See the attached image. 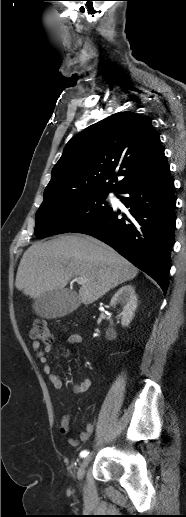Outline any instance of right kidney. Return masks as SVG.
<instances>
[{
    "label": "right kidney",
    "mask_w": 186,
    "mask_h": 517,
    "mask_svg": "<svg viewBox=\"0 0 186 517\" xmlns=\"http://www.w3.org/2000/svg\"><path fill=\"white\" fill-rule=\"evenodd\" d=\"M120 304L122 311L120 312L121 324L127 327L134 317V311L137 308V296L132 285H125L121 287L112 297L110 301L111 306Z\"/></svg>",
    "instance_id": "ca27d5eb"
}]
</instances>
